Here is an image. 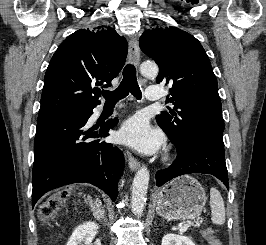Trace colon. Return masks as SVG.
Segmentation results:
<instances>
[{
    "label": "colon",
    "instance_id": "obj_1",
    "mask_svg": "<svg viewBox=\"0 0 266 245\" xmlns=\"http://www.w3.org/2000/svg\"><path fill=\"white\" fill-rule=\"evenodd\" d=\"M65 198L60 194L56 197H50L42 204L40 215L44 219H50L57 210L64 204ZM203 235L206 237L209 245H222L220 239L210 229H205Z\"/></svg>",
    "mask_w": 266,
    "mask_h": 245
}]
</instances>
